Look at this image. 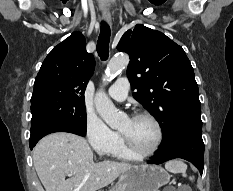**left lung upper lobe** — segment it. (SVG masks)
<instances>
[{
	"instance_id": "left-lung-upper-lobe-1",
	"label": "left lung upper lobe",
	"mask_w": 233,
	"mask_h": 191,
	"mask_svg": "<svg viewBox=\"0 0 233 191\" xmlns=\"http://www.w3.org/2000/svg\"><path fill=\"white\" fill-rule=\"evenodd\" d=\"M117 49L130 56L127 76L136 90L133 97L159 122L162 143L184 127H202L198 85L182 47L138 24L124 33Z\"/></svg>"
}]
</instances>
